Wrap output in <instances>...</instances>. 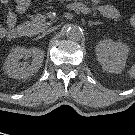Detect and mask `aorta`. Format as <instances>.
<instances>
[{"label":"aorta","instance_id":"obj_1","mask_svg":"<svg viewBox=\"0 0 135 135\" xmlns=\"http://www.w3.org/2000/svg\"><path fill=\"white\" fill-rule=\"evenodd\" d=\"M83 31L80 26L70 24L66 27V36L72 41H78L82 38Z\"/></svg>","mask_w":135,"mask_h":135}]
</instances>
